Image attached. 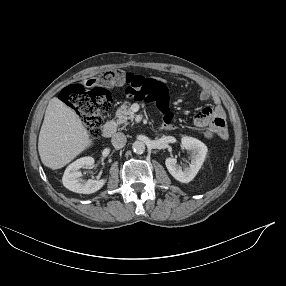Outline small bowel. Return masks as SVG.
I'll list each match as a JSON object with an SVG mask.
<instances>
[{
	"instance_id": "1",
	"label": "small bowel",
	"mask_w": 286,
	"mask_h": 286,
	"mask_svg": "<svg viewBox=\"0 0 286 286\" xmlns=\"http://www.w3.org/2000/svg\"><path fill=\"white\" fill-rule=\"evenodd\" d=\"M126 75L127 73L123 71H116V76L109 81H103L105 83L111 84V85H121L126 82ZM95 82V80H92ZM199 97L202 100H211L215 104V108H204L201 111H199L196 116H195V122L196 124L199 123V119H204L209 116H214L222 120L226 126V121H225V113L223 108L221 107V99L217 93L211 90V88L206 85V84H200L199 85ZM122 107L118 110H116L114 114V119L117 122H122L127 118L128 116V111L132 109L133 107V102L130 99H125L122 102ZM171 123L169 120H165L164 123L162 124L161 128L164 130H169L171 129Z\"/></svg>"
}]
</instances>
